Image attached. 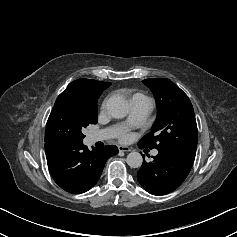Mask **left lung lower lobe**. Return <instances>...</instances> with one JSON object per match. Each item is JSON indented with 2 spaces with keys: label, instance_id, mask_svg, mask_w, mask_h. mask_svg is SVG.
Instances as JSON below:
<instances>
[{
  "label": "left lung lower lobe",
  "instance_id": "obj_1",
  "mask_svg": "<svg viewBox=\"0 0 237 237\" xmlns=\"http://www.w3.org/2000/svg\"><path fill=\"white\" fill-rule=\"evenodd\" d=\"M153 158L154 160L149 163L143 161L142 167L137 172V179L149 193L164 195L183 183L190 172L195 156L159 151Z\"/></svg>",
  "mask_w": 237,
  "mask_h": 237
}]
</instances>
